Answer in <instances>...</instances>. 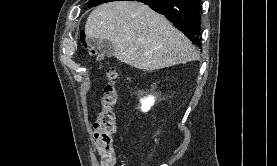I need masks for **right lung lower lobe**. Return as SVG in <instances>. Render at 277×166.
Instances as JSON below:
<instances>
[{"label":"right lung lower lobe","instance_id":"obj_1","mask_svg":"<svg viewBox=\"0 0 277 166\" xmlns=\"http://www.w3.org/2000/svg\"><path fill=\"white\" fill-rule=\"evenodd\" d=\"M122 1V0H112ZM163 14L194 44L201 45L200 0H136Z\"/></svg>","mask_w":277,"mask_h":166}]
</instances>
